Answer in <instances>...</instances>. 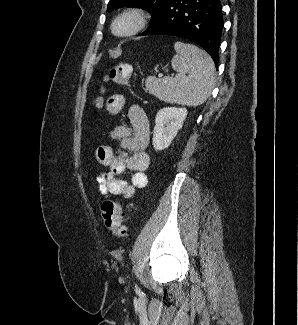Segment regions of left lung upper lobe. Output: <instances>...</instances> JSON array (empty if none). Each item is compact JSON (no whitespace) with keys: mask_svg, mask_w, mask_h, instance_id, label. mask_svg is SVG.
I'll return each instance as SVG.
<instances>
[{"mask_svg":"<svg viewBox=\"0 0 298 325\" xmlns=\"http://www.w3.org/2000/svg\"><path fill=\"white\" fill-rule=\"evenodd\" d=\"M169 0H110L108 3V11L114 10L121 6H141L149 10L152 14V20L159 14L162 8Z\"/></svg>","mask_w":298,"mask_h":325,"instance_id":"obj_1","label":"left lung upper lobe"}]
</instances>
